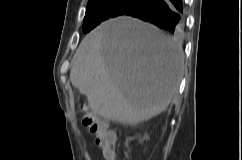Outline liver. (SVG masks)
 Segmentation results:
<instances>
[{"instance_id": "6515ba94", "label": "liver", "mask_w": 242, "mask_h": 160, "mask_svg": "<svg viewBox=\"0 0 242 160\" xmlns=\"http://www.w3.org/2000/svg\"><path fill=\"white\" fill-rule=\"evenodd\" d=\"M183 66L177 39L123 16L85 36L73 57L70 80L94 113L134 125L168 107L178 92Z\"/></svg>"}]
</instances>
